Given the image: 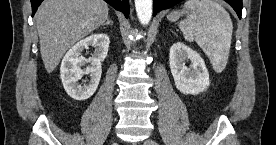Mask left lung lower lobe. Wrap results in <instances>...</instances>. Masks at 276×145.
Masks as SVG:
<instances>
[{
	"label": "left lung lower lobe",
	"instance_id": "0a47b994",
	"mask_svg": "<svg viewBox=\"0 0 276 145\" xmlns=\"http://www.w3.org/2000/svg\"><path fill=\"white\" fill-rule=\"evenodd\" d=\"M182 0H153V15L155 16L159 11L168 9ZM236 11L239 18L242 14V0H225Z\"/></svg>",
	"mask_w": 276,
	"mask_h": 145
}]
</instances>
